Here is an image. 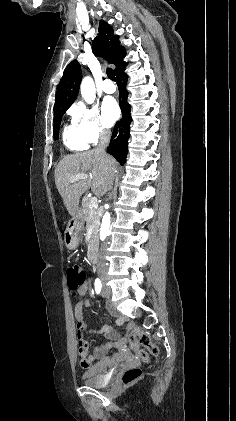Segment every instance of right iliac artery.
Instances as JSON below:
<instances>
[{
  "mask_svg": "<svg viewBox=\"0 0 236 421\" xmlns=\"http://www.w3.org/2000/svg\"><path fill=\"white\" fill-rule=\"evenodd\" d=\"M95 291H96V293L97 294H99L100 292H101V288H102V283H101V281H100V279H96L95 280Z\"/></svg>",
  "mask_w": 236,
  "mask_h": 421,
  "instance_id": "obj_1",
  "label": "right iliac artery"
}]
</instances>
